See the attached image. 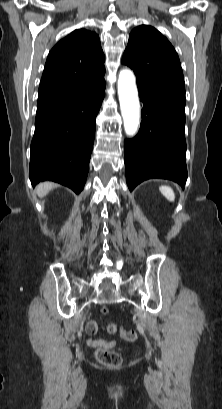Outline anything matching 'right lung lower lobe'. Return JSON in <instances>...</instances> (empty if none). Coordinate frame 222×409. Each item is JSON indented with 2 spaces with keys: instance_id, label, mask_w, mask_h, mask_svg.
Masks as SVG:
<instances>
[{
  "instance_id": "right-lung-lower-lobe-1",
  "label": "right lung lower lobe",
  "mask_w": 222,
  "mask_h": 409,
  "mask_svg": "<svg viewBox=\"0 0 222 409\" xmlns=\"http://www.w3.org/2000/svg\"><path fill=\"white\" fill-rule=\"evenodd\" d=\"M76 95L37 105L29 178L50 180L79 194L84 188L95 136V119L105 95L104 74L91 77Z\"/></svg>"
}]
</instances>
